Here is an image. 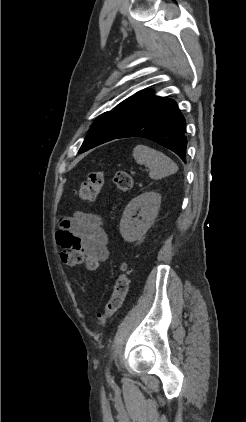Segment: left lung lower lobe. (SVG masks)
Masks as SVG:
<instances>
[{
	"mask_svg": "<svg viewBox=\"0 0 246 422\" xmlns=\"http://www.w3.org/2000/svg\"><path fill=\"white\" fill-rule=\"evenodd\" d=\"M186 121L176 102L163 97L117 138L142 137L175 152L186 162Z\"/></svg>",
	"mask_w": 246,
	"mask_h": 422,
	"instance_id": "1",
	"label": "left lung lower lobe"
}]
</instances>
